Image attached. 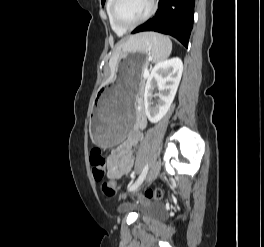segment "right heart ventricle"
<instances>
[{"mask_svg": "<svg viewBox=\"0 0 264 247\" xmlns=\"http://www.w3.org/2000/svg\"><path fill=\"white\" fill-rule=\"evenodd\" d=\"M112 4H113V0H106V13H107V17H108V21H109V24L112 28V30L117 33L118 35H123L126 31L117 27L113 20H112V16H111V7H112Z\"/></svg>", "mask_w": 264, "mask_h": 247, "instance_id": "e07e8e85", "label": "right heart ventricle"}]
</instances>
